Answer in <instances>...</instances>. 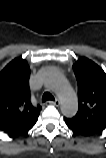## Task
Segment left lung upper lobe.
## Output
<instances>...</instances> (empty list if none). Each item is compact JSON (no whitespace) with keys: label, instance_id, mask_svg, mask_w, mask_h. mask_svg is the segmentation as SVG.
<instances>
[{"label":"left lung upper lobe","instance_id":"left-lung-upper-lobe-1","mask_svg":"<svg viewBox=\"0 0 106 158\" xmlns=\"http://www.w3.org/2000/svg\"><path fill=\"white\" fill-rule=\"evenodd\" d=\"M73 70L78 83V112L65 122L80 135L100 133L106 128V74L85 57L75 62Z\"/></svg>","mask_w":106,"mask_h":158}]
</instances>
